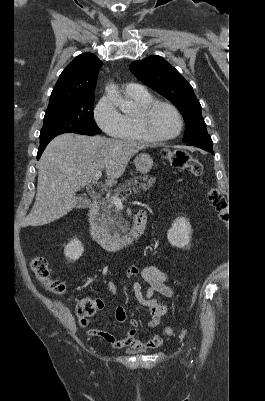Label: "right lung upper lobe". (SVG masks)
Returning a JSON list of instances; mask_svg holds the SVG:
<instances>
[{
  "label": "right lung upper lobe",
  "mask_w": 265,
  "mask_h": 401,
  "mask_svg": "<svg viewBox=\"0 0 265 401\" xmlns=\"http://www.w3.org/2000/svg\"><path fill=\"white\" fill-rule=\"evenodd\" d=\"M102 62L92 53L77 56L61 73L50 96L49 105L94 95Z\"/></svg>",
  "instance_id": "cb5924a9"
}]
</instances>
